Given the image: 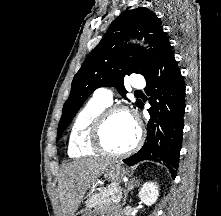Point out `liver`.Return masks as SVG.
I'll return each mask as SVG.
<instances>
[{"mask_svg":"<svg viewBox=\"0 0 221 216\" xmlns=\"http://www.w3.org/2000/svg\"><path fill=\"white\" fill-rule=\"evenodd\" d=\"M115 163L112 159H78L67 164L58 184L63 216H75L85 192Z\"/></svg>","mask_w":221,"mask_h":216,"instance_id":"1","label":"liver"}]
</instances>
